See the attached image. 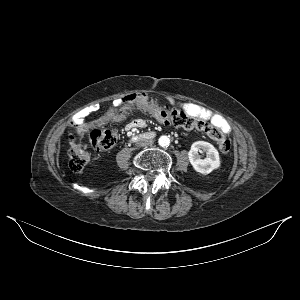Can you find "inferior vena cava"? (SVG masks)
Instances as JSON below:
<instances>
[{
	"label": "inferior vena cava",
	"instance_id": "obj_1",
	"mask_svg": "<svg viewBox=\"0 0 300 300\" xmlns=\"http://www.w3.org/2000/svg\"><path fill=\"white\" fill-rule=\"evenodd\" d=\"M137 145L140 147H148L152 145V141L151 140H142V141H138Z\"/></svg>",
	"mask_w": 300,
	"mask_h": 300
}]
</instances>
